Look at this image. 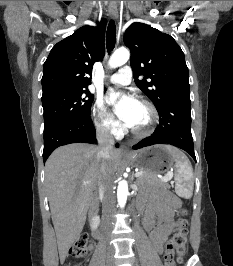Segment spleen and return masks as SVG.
<instances>
[{
  "label": "spleen",
  "mask_w": 233,
  "mask_h": 266,
  "mask_svg": "<svg viewBox=\"0 0 233 266\" xmlns=\"http://www.w3.org/2000/svg\"><path fill=\"white\" fill-rule=\"evenodd\" d=\"M175 159V191L180 197L190 198L193 194V168L187 158L179 149L169 147Z\"/></svg>",
  "instance_id": "spleen-1"
}]
</instances>
